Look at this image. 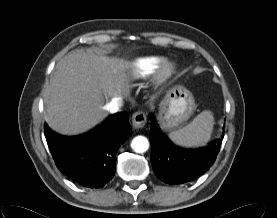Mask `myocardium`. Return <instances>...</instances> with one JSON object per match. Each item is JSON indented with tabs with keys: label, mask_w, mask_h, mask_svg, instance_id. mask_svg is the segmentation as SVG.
Here are the masks:
<instances>
[{
	"label": "myocardium",
	"mask_w": 277,
	"mask_h": 218,
	"mask_svg": "<svg viewBox=\"0 0 277 218\" xmlns=\"http://www.w3.org/2000/svg\"><path fill=\"white\" fill-rule=\"evenodd\" d=\"M176 65L171 61H164L156 71L155 83L157 86L163 85L175 73Z\"/></svg>",
	"instance_id": "1"
}]
</instances>
